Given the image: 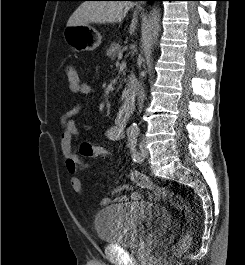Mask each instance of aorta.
<instances>
[{"mask_svg": "<svg viewBox=\"0 0 245 265\" xmlns=\"http://www.w3.org/2000/svg\"><path fill=\"white\" fill-rule=\"evenodd\" d=\"M160 11L157 8H153L150 16H149V22L147 27V32L149 39H151L152 42L156 43L159 32H160ZM134 129H137V126H133Z\"/></svg>", "mask_w": 245, "mask_h": 265, "instance_id": "obj_1", "label": "aorta"}]
</instances>
